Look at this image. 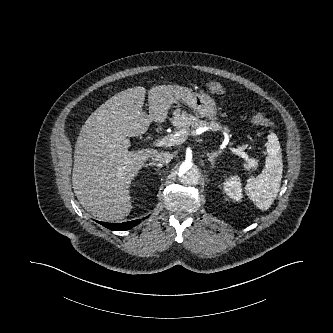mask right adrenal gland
I'll return each instance as SVG.
<instances>
[{
    "label": "right adrenal gland",
    "mask_w": 333,
    "mask_h": 333,
    "mask_svg": "<svg viewBox=\"0 0 333 333\" xmlns=\"http://www.w3.org/2000/svg\"><path fill=\"white\" fill-rule=\"evenodd\" d=\"M146 166H156L158 168H162L163 165L160 163L151 162L149 164H146Z\"/></svg>",
    "instance_id": "1"
}]
</instances>
